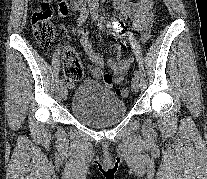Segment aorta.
<instances>
[{
  "instance_id": "aorta-1",
  "label": "aorta",
  "mask_w": 207,
  "mask_h": 179,
  "mask_svg": "<svg viewBox=\"0 0 207 179\" xmlns=\"http://www.w3.org/2000/svg\"><path fill=\"white\" fill-rule=\"evenodd\" d=\"M90 5H97L99 0H87Z\"/></svg>"
}]
</instances>
